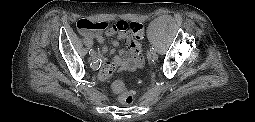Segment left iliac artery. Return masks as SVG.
<instances>
[{
    "label": "left iliac artery",
    "mask_w": 255,
    "mask_h": 122,
    "mask_svg": "<svg viewBox=\"0 0 255 122\" xmlns=\"http://www.w3.org/2000/svg\"><path fill=\"white\" fill-rule=\"evenodd\" d=\"M150 53H156V49L154 47L150 48Z\"/></svg>",
    "instance_id": "1"
}]
</instances>
